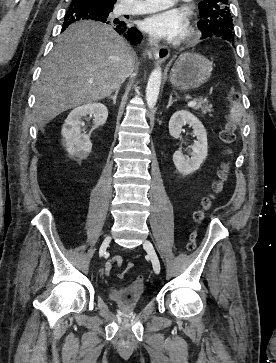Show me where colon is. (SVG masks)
<instances>
[{"label": "colon", "mask_w": 276, "mask_h": 363, "mask_svg": "<svg viewBox=\"0 0 276 363\" xmlns=\"http://www.w3.org/2000/svg\"><path fill=\"white\" fill-rule=\"evenodd\" d=\"M229 99L231 102H236L238 100V94L234 91H231L229 94ZM234 128H235L234 120L230 116L228 118V122L225 128L220 133V138L222 142L226 145V148L224 150V154L226 156L230 155L231 151L229 145L232 144L235 139ZM228 173H229V165L227 162H224L221 165V169L218 172L217 180L212 185V193L203 199L202 208L194 213V220L197 224H199L203 220L206 211L210 209L214 200L223 191L225 182L228 177ZM196 237H197V231H193L190 235V239L187 244V250L189 252L194 251L196 248ZM131 267L132 264H129L127 268L130 269ZM134 284L140 285L141 281L136 280Z\"/></svg>", "instance_id": "5ec220e1"}]
</instances>
